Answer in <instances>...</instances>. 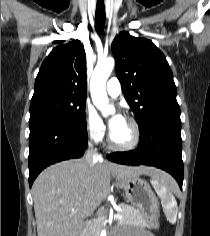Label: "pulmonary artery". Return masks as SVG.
Masks as SVG:
<instances>
[{"label": "pulmonary artery", "instance_id": "pulmonary-artery-1", "mask_svg": "<svg viewBox=\"0 0 210 236\" xmlns=\"http://www.w3.org/2000/svg\"><path fill=\"white\" fill-rule=\"evenodd\" d=\"M106 91L110 96L116 97L121 93V85L117 78H111L106 85Z\"/></svg>", "mask_w": 210, "mask_h": 236}]
</instances>
